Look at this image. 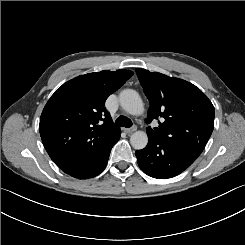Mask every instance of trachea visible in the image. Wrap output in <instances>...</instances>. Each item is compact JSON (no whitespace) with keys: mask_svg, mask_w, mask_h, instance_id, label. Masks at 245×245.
<instances>
[{"mask_svg":"<svg viewBox=\"0 0 245 245\" xmlns=\"http://www.w3.org/2000/svg\"><path fill=\"white\" fill-rule=\"evenodd\" d=\"M116 126L118 127H126V128H130L132 126V121L127 118V117H124V116H120L117 118L116 120Z\"/></svg>","mask_w":245,"mask_h":245,"instance_id":"3493384b","label":"trachea"}]
</instances>
